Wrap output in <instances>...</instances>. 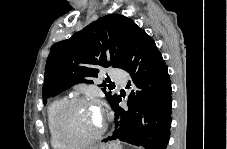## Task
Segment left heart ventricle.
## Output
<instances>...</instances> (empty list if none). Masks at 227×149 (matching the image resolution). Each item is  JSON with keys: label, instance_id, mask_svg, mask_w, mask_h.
<instances>
[{"label": "left heart ventricle", "instance_id": "1", "mask_svg": "<svg viewBox=\"0 0 227 149\" xmlns=\"http://www.w3.org/2000/svg\"><path fill=\"white\" fill-rule=\"evenodd\" d=\"M100 125L101 113L92 102L72 105L63 117V131L69 139H86L95 134Z\"/></svg>", "mask_w": 227, "mask_h": 149}]
</instances>
